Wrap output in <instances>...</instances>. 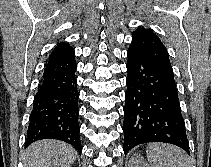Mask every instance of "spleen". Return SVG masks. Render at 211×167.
Instances as JSON below:
<instances>
[{
	"instance_id": "spleen-1",
	"label": "spleen",
	"mask_w": 211,
	"mask_h": 167,
	"mask_svg": "<svg viewBox=\"0 0 211 167\" xmlns=\"http://www.w3.org/2000/svg\"><path fill=\"white\" fill-rule=\"evenodd\" d=\"M146 154L150 167H192L187 153L174 145L152 143Z\"/></svg>"
}]
</instances>
